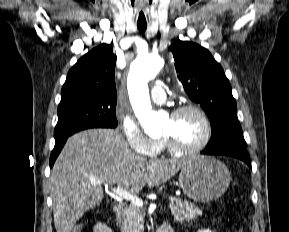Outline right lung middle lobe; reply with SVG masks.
I'll return each instance as SVG.
<instances>
[{
  "label": "right lung middle lobe",
  "mask_w": 289,
  "mask_h": 232,
  "mask_svg": "<svg viewBox=\"0 0 289 232\" xmlns=\"http://www.w3.org/2000/svg\"><path fill=\"white\" fill-rule=\"evenodd\" d=\"M117 100L102 96L81 97L59 104L55 141L89 128H115Z\"/></svg>",
  "instance_id": "right-lung-middle-lobe-1"
}]
</instances>
